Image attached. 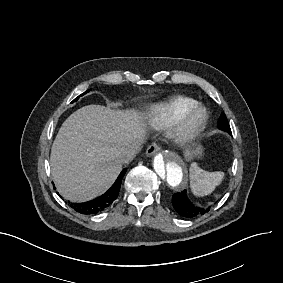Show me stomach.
Returning a JSON list of instances; mask_svg holds the SVG:
<instances>
[{
  "mask_svg": "<svg viewBox=\"0 0 283 283\" xmlns=\"http://www.w3.org/2000/svg\"><path fill=\"white\" fill-rule=\"evenodd\" d=\"M204 148L201 144L188 145L184 151V157L186 160H191L193 158H201L203 156Z\"/></svg>",
  "mask_w": 283,
  "mask_h": 283,
  "instance_id": "stomach-1",
  "label": "stomach"
}]
</instances>
